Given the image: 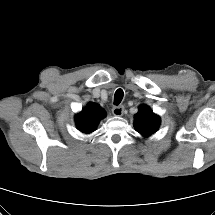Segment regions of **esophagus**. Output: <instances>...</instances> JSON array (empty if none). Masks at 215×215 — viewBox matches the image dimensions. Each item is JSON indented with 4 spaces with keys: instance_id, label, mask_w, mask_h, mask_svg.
Instances as JSON below:
<instances>
[{
    "instance_id": "1",
    "label": "esophagus",
    "mask_w": 215,
    "mask_h": 215,
    "mask_svg": "<svg viewBox=\"0 0 215 215\" xmlns=\"http://www.w3.org/2000/svg\"><path fill=\"white\" fill-rule=\"evenodd\" d=\"M124 112V107L123 106H115L112 109V113L115 116H122Z\"/></svg>"
}]
</instances>
